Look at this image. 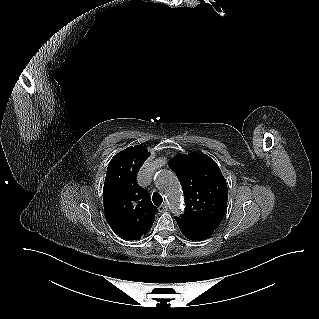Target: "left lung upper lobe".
Listing matches in <instances>:
<instances>
[{"mask_svg":"<svg viewBox=\"0 0 319 319\" xmlns=\"http://www.w3.org/2000/svg\"><path fill=\"white\" fill-rule=\"evenodd\" d=\"M185 196L181 220L198 227L217 229L227 207V183L219 166L202 153L178 154L169 162Z\"/></svg>","mask_w":319,"mask_h":319,"instance_id":"5c2ea615","label":"left lung upper lobe"}]
</instances>
